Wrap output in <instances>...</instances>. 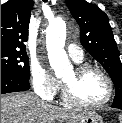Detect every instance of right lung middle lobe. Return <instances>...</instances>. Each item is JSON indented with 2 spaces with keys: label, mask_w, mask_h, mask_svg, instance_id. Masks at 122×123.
Returning <instances> with one entry per match:
<instances>
[{
  "label": "right lung middle lobe",
  "mask_w": 122,
  "mask_h": 123,
  "mask_svg": "<svg viewBox=\"0 0 122 123\" xmlns=\"http://www.w3.org/2000/svg\"><path fill=\"white\" fill-rule=\"evenodd\" d=\"M1 71L29 80L30 67L26 52L1 50Z\"/></svg>",
  "instance_id": "right-lung-middle-lobe-1"
}]
</instances>
